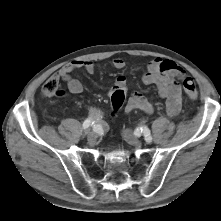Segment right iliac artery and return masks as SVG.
Listing matches in <instances>:
<instances>
[{
	"instance_id": "1",
	"label": "right iliac artery",
	"mask_w": 221,
	"mask_h": 221,
	"mask_svg": "<svg viewBox=\"0 0 221 221\" xmlns=\"http://www.w3.org/2000/svg\"><path fill=\"white\" fill-rule=\"evenodd\" d=\"M95 123V121L91 118H87L84 122H83V129L87 130L90 126H92Z\"/></svg>"
}]
</instances>
